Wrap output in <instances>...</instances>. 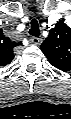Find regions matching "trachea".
<instances>
[{
  "label": "trachea",
  "instance_id": "obj_1",
  "mask_svg": "<svg viewBox=\"0 0 71 119\" xmlns=\"http://www.w3.org/2000/svg\"><path fill=\"white\" fill-rule=\"evenodd\" d=\"M29 34L35 37H39L40 29L36 19H33L31 22V29L29 30Z\"/></svg>",
  "mask_w": 71,
  "mask_h": 119
}]
</instances>
